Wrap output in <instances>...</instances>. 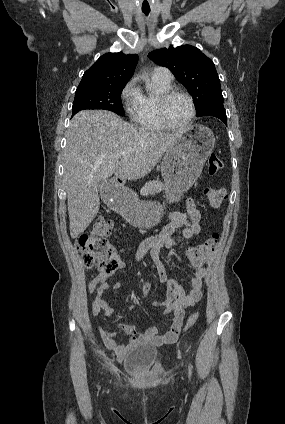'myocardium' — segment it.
I'll list each match as a JSON object with an SVG mask.
<instances>
[{"mask_svg":"<svg viewBox=\"0 0 285 424\" xmlns=\"http://www.w3.org/2000/svg\"><path fill=\"white\" fill-rule=\"evenodd\" d=\"M174 96L185 97L190 105V110H191L190 116L187 119V121L180 126L171 124L166 116V105L168 101ZM157 114H158L159 121L166 129L182 132V131H185L194 121L196 117V107H195L193 98L188 93L181 90H177V89H170L159 95L157 100Z\"/></svg>","mask_w":285,"mask_h":424,"instance_id":"obj_1","label":"myocardium"}]
</instances>
